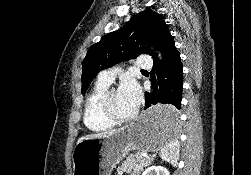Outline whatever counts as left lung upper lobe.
Segmentation results:
<instances>
[{"instance_id": "obj_1", "label": "left lung upper lobe", "mask_w": 251, "mask_h": 175, "mask_svg": "<svg viewBox=\"0 0 251 175\" xmlns=\"http://www.w3.org/2000/svg\"><path fill=\"white\" fill-rule=\"evenodd\" d=\"M164 17L151 10H144L131 18L120 30L111 32L92 45L83 61L82 93L88 89L93 78L103 69L134 59L140 54L154 55L169 33Z\"/></svg>"}]
</instances>
